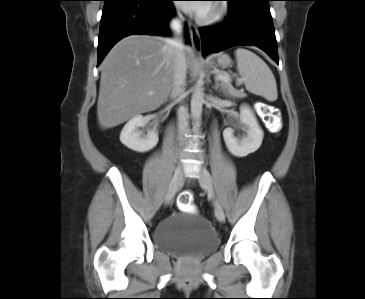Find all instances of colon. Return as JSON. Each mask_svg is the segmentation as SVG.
I'll return each mask as SVG.
<instances>
[{
    "label": "colon",
    "instance_id": "colon-1",
    "mask_svg": "<svg viewBox=\"0 0 365 299\" xmlns=\"http://www.w3.org/2000/svg\"><path fill=\"white\" fill-rule=\"evenodd\" d=\"M267 113L264 117L268 118L269 128L272 132L277 133L280 131L282 122L279 118L277 111L272 107H266ZM177 206L182 210H193V194L190 191H183L177 198Z\"/></svg>",
    "mask_w": 365,
    "mask_h": 299
}]
</instances>
